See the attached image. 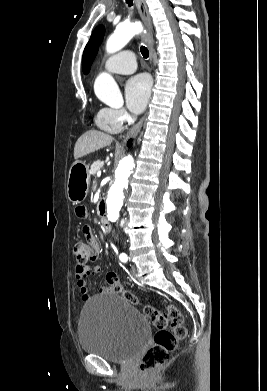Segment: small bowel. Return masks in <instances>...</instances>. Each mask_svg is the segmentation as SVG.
Listing matches in <instances>:
<instances>
[{
    "label": "small bowel",
    "instance_id": "1",
    "mask_svg": "<svg viewBox=\"0 0 267 391\" xmlns=\"http://www.w3.org/2000/svg\"><path fill=\"white\" fill-rule=\"evenodd\" d=\"M76 216L79 218H85L87 216V209L83 205H79L75 209ZM83 232L87 236L88 239H93L92 231L89 226H83ZM100 271L99 266H84V267H75V275H76V284L78 290L82 296L84 301L89 299L88 288L86 285V278L91 274H96ZM100 293H107L109 290L106 287L100 288Z\"/></svg>",
    "mask_w": 267,
    "mask_h": 391
}]
</instances>
